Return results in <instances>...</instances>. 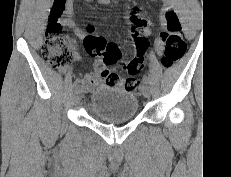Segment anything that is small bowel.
<instances>
[{"mask_svg": "<svg viewBox=\"0 0 231 177\" xmlns=\"http://www.w3.org/2000/svg\"><path fill=\"white\" fill-rule=\"evenodd\" d=\"M101 3H107L102 2ZM58 4L60 9H61V16L59 19V23L61 26L67 27L69 29H72L77 35L79 36H86L85 34L82 33V31L76 26L74 18H73V3L74 0H55L54 4ZM53 4V5H54ZM167 10V7L164 6L163 8V14L161 16V21L164 24L165 23V12ZM127 19L130 22L131 25L135 26L138 28V30L143 33L145 36H147L150 33V25H151V20L149 18L143 17L139 15L136 10L133 8L127 13ZM66 39L68 42L72 45L74 49L77 47L76 40L70 36L66 35ZM133 47L135 48V44H133ZM164 50V43L161 40V38L156 39L155 41V51L157 54H161ZM80 55L75 52L74 53V59L75 60H80ZM103 64L99 62L97 64V70L86 76L84 79H82V83L85 86L87 90H92L93 88L101 85V84H107V85H114L110 83L109 79L107 76L103 74ZM112 72V71H111Z\"/></svg>", "mask_w": 231, "mask_h": 177, "instance_id": "obj_1", "label": "small bowel"}]
</instances>
